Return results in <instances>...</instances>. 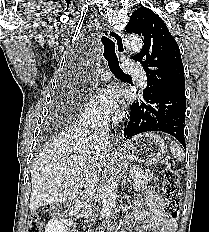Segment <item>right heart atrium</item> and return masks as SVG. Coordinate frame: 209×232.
<instances>
[{"mask_svg":"<svg viewBox=\"0 0 209 232\" xmlns=\"http://www.w3.org/2000/svg\"><path fill=\"white\" fill-rule=\"evenodd\" d=\"M79 122L86 127H95L100 126L104 122V116L91 99H88L84 102L79 114Z\"/></svg>","mask_w":209,"mask_h":232,"instance_id":"right-heart-atrium-1","label":"right heart atrium"}]
</instances>
